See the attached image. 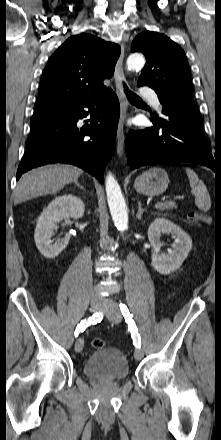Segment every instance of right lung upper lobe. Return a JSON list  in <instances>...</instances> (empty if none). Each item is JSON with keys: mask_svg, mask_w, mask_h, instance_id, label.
I'll return each instance as SVG.
<instances>
[{"mask_svg": "<svg viewBox=\"0 0 221 440\" xmlns=\"http://www.w3.org/2000/svg\"><path fill=\"white\" fill-rule=\"evenodd\" d=\"M120 51L91 34L68 38L43 71L35 108L105 93L103 80L112 77Z\"/></svg>", "mask_w": 221, "mask_h": 440, "instance_id": "obj_1", "label": "right lung upper lobe"}]
</instances>
